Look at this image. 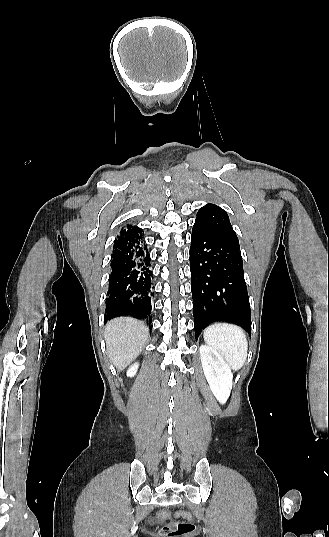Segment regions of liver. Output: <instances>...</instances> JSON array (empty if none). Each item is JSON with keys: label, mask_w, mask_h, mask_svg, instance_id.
<instances>
[{"label": "liver", "mask_w": 329, "mask_h": 537, "mask_svg": "<svg viewBox=\"0 0 329 537\" xmlns=\"http://www.w3.org/2000/svg\"><path fill=\"white\" fill-rule=\"evenodd\" d=\"M148 336L149 330L141 321L130 317L111 320L105 329L110 361L122 371L140 354Z\"/></svg>", "instance_id": "liver-1"}]
</instances>
